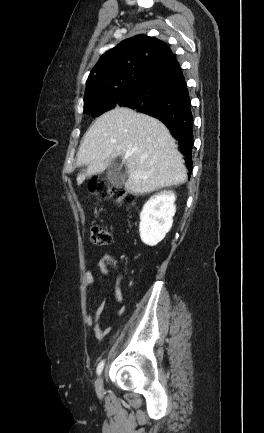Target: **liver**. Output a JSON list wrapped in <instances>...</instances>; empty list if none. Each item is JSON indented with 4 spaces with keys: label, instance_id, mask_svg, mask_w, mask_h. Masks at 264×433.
Wrapping results in <instances>:
<instances>
[{
    "label": "liver",
    "instance_id": "6515ba94",
    "mask_svg": "<svg viewBox=\"0 0 264 433\" xmlns=\"http://www.w3.org/2000/svg\"><path fill=\"white\" fill-rule=\"evenodd\" d=\"M126 154L125 188L136 195L187 180L182 155L168 129L148 115L116 107L98 117L86 132L77 165L87 170L77 175V184L104 172L113 159Z\"/></svg>",
    "mask_w": 264,
    "mask_h": 433
}]
</instances>
